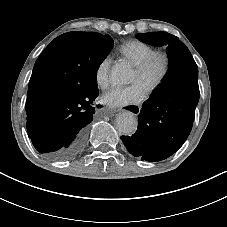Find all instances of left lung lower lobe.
Instances as JSON below:
<instances>
[{
  "mask_svg": "<svg viewBox=\"0 0 227 227\" xmlns=\"http://www.w3.org/2000/svg\"><path fill=\"white\" fill-rule=\"evenodd\" d=\"M162 84L142 105L138 127L132 136H121L127 150L149 162L174 154L192 129L200 96L198 68L189 51L173 56Z\"/></svg>",
  "mask_w": 227,
  "mask_h": 227,
  "instance_id": "0a47b994",
  "label": "left lung lower lobe"
}]
</instances>
